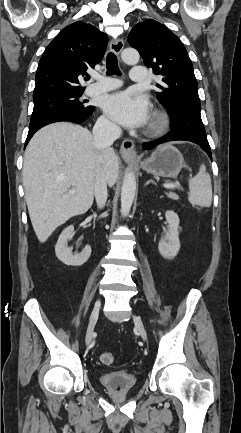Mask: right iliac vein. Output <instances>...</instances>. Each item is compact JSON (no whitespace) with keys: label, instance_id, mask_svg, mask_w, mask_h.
I'll use <instances>...</instances> for the list:
<instances>
[{"label":"right iliac vein","instance_id":"right-iliac-vein-1","mask_svg":"<svg viewBox=\"0 0 241 433\" xmlns=\"http://www.w3.org/2000/svg\"><path fill=\"white\" fill-rule=\"evenodd\" d=\"M100 306H101V301L99 298H97V300L94 304V308H93V311L91 313L90 319H89V325H88L87 332H86V337H85L86 346H88L92 340L94 326H95L97 319H98V316H99Z\"/></svg>","mask_w":241,"mask_h":433}]
</instances>
